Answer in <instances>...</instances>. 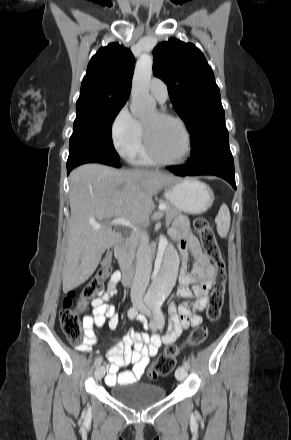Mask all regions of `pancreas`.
Instances as JSON below:
<instances>
[{"label": "pancreas", "instance_id": "pancreas-1", "mask_svg": "<svg viewBox=\"0 0 291 440\" xmlns=\"http://www.w3.org/2000/svg\"><path fill=\"white\" fill-rule=\"evenodd\" d=\"M160 203L166 205V209L164 210L165 219H166V224L169 225L171 221L181 213V211L176 207L172 206L167 201L161 200ZM140 240H141V236L139 234L133 233L125 241V243L120 247V257H119L120 264L133 262L135 257V251L140 243Z\"/></svg>", "mask_w": 291, "mask_h": 440}]
</instances>
